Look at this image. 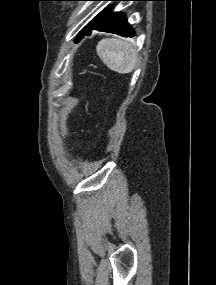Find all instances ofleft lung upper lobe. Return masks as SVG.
I'll list each match as a JSON object with an SVG mask.
<instances>
[{"label":"left lung upper lobe","instance_id":"obj_1","mask_svg":"<svg viewBox=\"0 0 216 285\" xmlns=\"http://www.w3.org/2000/svg\"><path fill=\"white\" fill-rule=\"evenodd\" d=\"M94 1H101V0H94ZM110 1H118V0H110ZM106 10H108V9H106ZM106 10H103L101 13H99L92 21L89 22V24H87V25L82 29V31L85 30L86 28H88L89 26H91V25L95 22V20H96L97 18H99Z\"/></svg>","mask_w":216,"mask_h":285}]
</instances>
